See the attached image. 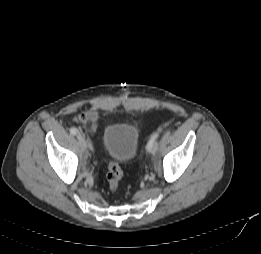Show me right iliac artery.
Listing matches in <instances>:
<instances>
[{
	"label": "right iliac artery",
	"mask_w": 261,
	"mask_h": 254,
	"mask_svg": "<svg viewBox=\"0 0 261 254\" xmlns=\"http://www.w3.org/2000/svg\"><path fill=\"white\" fill-rule=\"evenodd\" d=\"M70 133L72 134V135H76L77 133H78V131H77V129L75 128V127H71L70 128ZM90 148L92 149V146L90 145Z\"/></svg>",
	"instance_id": "82829eb1"
}]
</instances>
